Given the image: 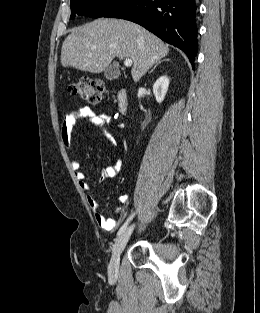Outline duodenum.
<instances>
[{
    "label": "duodenum",
    "mask_w": 260,
    "mask_h": 313,
    "mask_svg": "<svg viewBox=\"0 0 260 313\" xmlns=\"http://www.w3.org/2000/svg\"><path fill=\"white\" fill-rule=\"evenodd\" d=\"M117 106L121 114H125L128 111V93L127 90L122 88L117 92Z\"/></svg>",
    "instance_id": "410a0bca"
}]
</instances>
